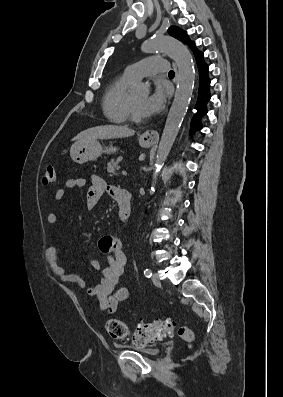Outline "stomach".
Masks as SVG:
<instances>
[{
	"mask_svg": "<svg viewBox=\"0 0 283 397\" xmlns=\"http://www.w3.org/2000/svg\"><path fill=\"white\" fill-rule=\"evenodd\" d=\"M139 144L142 147H150L151 142L139 138ZM117 151L116 147H103L96 139L87 140L84 142H75L70 149V156L72 160L78 164H83L88 161L96 160L102 153L111 154Z\"/></svg>",
	"mask_w": 283,
	"mask_h": 397,
	"instance_id": "stomach-1",
	"label": "stomach"
}]
</instances>
